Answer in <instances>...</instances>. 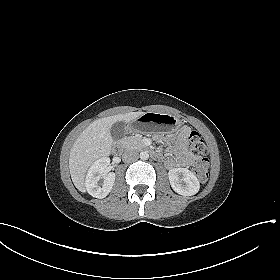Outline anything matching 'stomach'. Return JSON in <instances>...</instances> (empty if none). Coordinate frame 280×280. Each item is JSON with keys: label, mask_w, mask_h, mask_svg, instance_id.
<instances>
[{"label": "stomach", "mask_w": 280, "mask_h": 280, "mask_svg": "<svg viewBox=\"0 0 280 280\" xmlns=\"http://www.w3.org/2000/svg\"><path fill=\"white\" fill-rule=\"evenodd\" d=\"M182 125V121L170 114L147 112L130 123L131 132H139L145 128L154 127L165 133L177 131Z\"/></svg>", "instance_id": "obj_1"}]
</instances>
